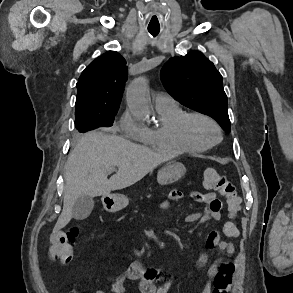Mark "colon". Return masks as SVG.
<instances>
[{"mask_svg": "<svg viewBox=\"0 0 293 293\" xmlns=\"http://www.w3.org/2000/svg\"><path fill=\"white\" fill-rule=\"evenodd\" d=\"M203 185L207 189L217 190L227 202L230 220L222 227V233L229 238L238 236V228L234 218L241 206V198L235 186L215 169H206L203 173ZM80 234V228L74 226L66 232H56L48 247V255L51 259L60 260L62 263H70L75 253V243ZM235 266L232 261L227 260L220 266L214 277L212 293H228L233 282Z\"/></svg>", "mask_w": 293, "mask_h": 293, "instance_id": "colon-1", "label": "colon"}]
</instances>
